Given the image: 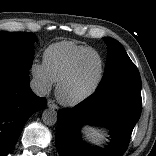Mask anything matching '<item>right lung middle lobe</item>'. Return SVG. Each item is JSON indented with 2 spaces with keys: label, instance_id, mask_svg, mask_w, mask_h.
<instances>
[{
  "label": "right lung middle lobe",
  "instance_id": "right-lung-middle-lobe-1",
  "mask_svg": "<svg viewBox=\"0 0 156 156\" xmlns=\"http://www.w3.org/2000/svg\"><path fill=\"white\" fill-rule=\"evenodd\" d=\"M37 37L28 32H0V64L29 70Z\"/></svg>",
  "mask_w": 156,
  "mask_h": 156
}]
</instances>
